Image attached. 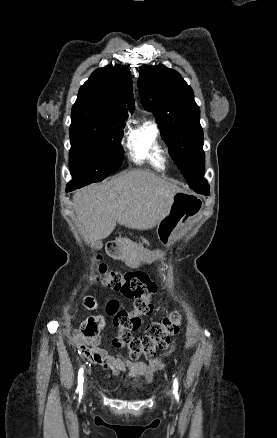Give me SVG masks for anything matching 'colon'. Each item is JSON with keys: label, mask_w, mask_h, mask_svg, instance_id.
Here are the masks:
<instances>
[{"label": "colon", "mask_w": 277, "mask_h": 438, "mask_svg": "<svg viewBox=\"0 0 277 438\" xmlns=\"http://www.w3.org/2000/svg\"><path fill=\"white\" fill-rule=\"evenodd\" d=\"M95 279L126 299L133 301V307L129 311L118 313L113 321L115 328L123 329L111 340V346L116 349L128 348L131 360L138 359L141 355L151 358L156 350H161L169 344L170 337L179 329L182 317L174 311L168 318L149 324L141 335H133L126 331L134 325L138 317L153 312L154 306L150 300L154 292V282L151 277L140 271L120 272L108 269L107 265L100 263L93 267ZM85 302L93 307L96 300L87 297ZM103 327V321L98 317L91 318L83 328L84 338L89 343H94L99 338V331Z\"/></svg>", "instance_id": "5ec220e1"}]
</instances>
